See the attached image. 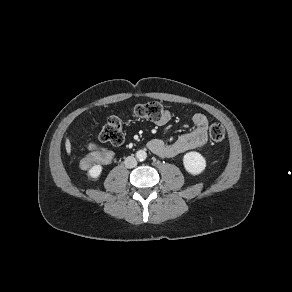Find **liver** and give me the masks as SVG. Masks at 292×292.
<instances>
[{
    "label": "liver",
    "instance_id": "1",
    "mask_svg": "<svg viewBox=\"0 0 292 292\" xmlns=\"http://www.w3.org/2000/svg\"><path fill=\"white\" fill-rule=\"evenodd\" d=\"M65 148H66V152L68 153V155H70L71 153V143L70 140L67 138L66 142H65Z\"/></svg>",
    "mask_w": 292,
    "mask_h": 292
}]
</instances>
